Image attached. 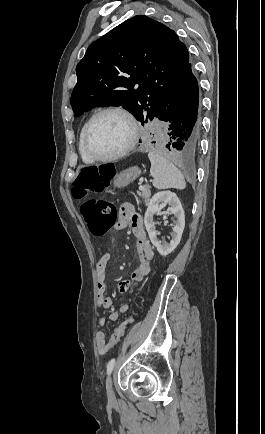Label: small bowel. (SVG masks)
<instances>
[{
    "label": "small bowel",
    "mask_w": 265,
    "mask_h": 434,
    "mask_svg": "<svg viewBox=\"0 0 265 434\" xmlns=\"http://www.w3.org/2000/svg\"><path fill=\"white\" fill-rule=\"evenodd\" d=\"M129 227L136 239V250L139 256V264L133 271L130 280H121L118 283L120 292L125 296L133 294L137 284L147 276L151 271V261L154 257V250L150 240L146 234L142 216L137 213L134 207L125 203L120 207L118 219L115 223L117 230H123ZM111 260L109 252L104 253L96 264V292L97 306L103 309H110L113 306V301L107 294L106 271ZM129 311V306L122 304L119 310H113L109 314L111 321H117L121 313ZM106 322L105 317L98 318V324L103 326ZM96 344L100 352L105 351L106 334L103 331H97L95 335ZM111 350V349H109Z\"/></svg>",
    "instance_id": "small-bowel-1"
}]
</instances>
